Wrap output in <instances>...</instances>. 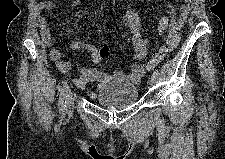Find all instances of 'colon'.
I'll return each instance as SVG.
<instances>
[{"label":"colon","instance_id":"1","mask_svg":"<svg viewBox=\"0 0 225 159\" xmlns=\"http://www.w3.org/2000/svg\"><path fill=\"white\" fill-rule=\"evenodd\" d=\"M169 51V47L163 46L153 57L152 59L147 63V70H152L156 66H158L164 57L167 55Z\"/></svg>","mask_w":225,"mask_h":159}]
</instances>
